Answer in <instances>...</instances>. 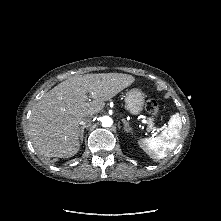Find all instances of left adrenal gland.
<instances>
[{
	"mask_svg": "<svg viewBox=\"0 0 221 221\" xmlns=\"http://www.w3.org/2000/svg\"><path fill=\"white\" fill-rule=\"evenodd\" d=\"M122 122L124 124V130L128 133V132H131L132 131V128L130 127L129 123L125 120V119H122Z\"/></svg>",
	"mask_w": 221,
	"mask_h": 221,
	"instance_id": "1",
	"label": "left adrenal gland"
}]
</instances>
